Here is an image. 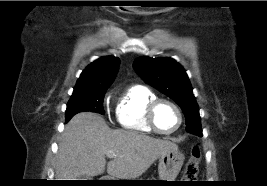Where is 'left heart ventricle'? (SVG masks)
<instances>
[{"instance_id":"obj_1","label":"left heart ventricle","mask_w":267,"mask_h":186,"mask_svg":"<svg viewBox=\"0 0 267 186\" xmlns=\"http://www.w3.org/2000/svg\"><path fill=\"white\" fill-rule=\"evenodd\" d=\"M178 115L176 110L167 103L158 105L155 111V122L159 129L163 131H171L178 124Z\"/></svg>"}]
</instances>
